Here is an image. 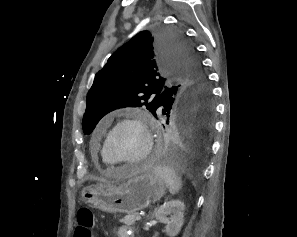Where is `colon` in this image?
Listing matches in <instances>:
<instances>
[{"mask_svg": "<svg viewBox=\"0 0 297 237\" xmlns=\"http://www.w3.org/2000/svg\"><path fill=\"white\" fill-rule=\"evenodd\" d=\"M94 219L90 209L83 207L77 214L75 237H93Z\"/></svg>", "mask_w": 297, "mask_h": 237, "instance_id": "obj_1", "label": "colon"}]
</instances>
